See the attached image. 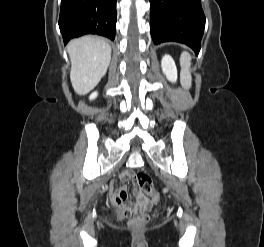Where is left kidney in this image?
Returning a JSON list of instances; mask_svg holds the SVG:
<instances>
[{
	"instance_id": "5707ae66",
	"label": "left kidney",
	"mask_w": 264,
	"mask_h": 247,
	"mask_svg": "<svg viewBox=\"0 0 264 247\" xmlns=\"http://www.w3.org/2000/svg\"><path fill=\"white\" fill-rule=\"evenodd\" d=\"M162 71L166 74L167 79L170 82L175 83L177 81V68L173 58L170 55L163 56L161 60Z\"/></svg>"
}]
</instances>
